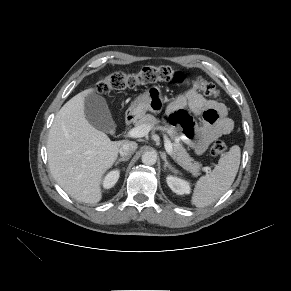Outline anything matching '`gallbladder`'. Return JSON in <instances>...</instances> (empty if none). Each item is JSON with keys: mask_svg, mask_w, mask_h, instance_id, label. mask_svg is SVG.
I'll list each match as a JSON object with an SVG mask.
<instances>
[{"mask_svg": "<svg viewBox=\"0 0 291 291\" xmlns=\"http://www.w3.org/2000/svg\"><path fill=\"white\" fill-rule=\"evenodd\" d=\"M84 113L93 127L114 134L116 126L106 100L102 96L96 93L88 94L84 100Z\"/></svg>", "mask_w": 291, "mask_h": 291, "instance_id": "1", "label": "gallbladder"}]
</instances>
